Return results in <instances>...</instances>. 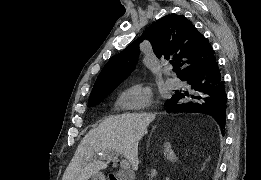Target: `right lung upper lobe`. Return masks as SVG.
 Here are the masks:
<instances>
[{
	"label": "right lung upper lobe",
	"instance_id": "right-lung-upper-lobe-1",
	"mask_svg": "<svg viewBox=\"0 0 261 180\" xmlns=\"http://www.w3.org/2000/svg\"><path fill=\"white\" fill-rule=\"evenodd\" d=\"M148 39L158 58L181 67L178 77L216 61L207 39L182 15H166L148 28L118 55L113 56L97 77L90 98L110 94L134 70L139 44Z\"/></svg>",
	"mask_w": 261,
	"mask_h": 180
}]
</instances>
